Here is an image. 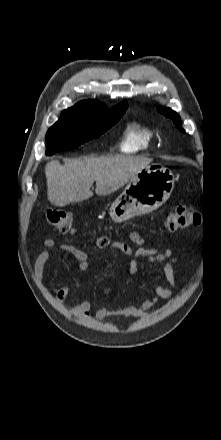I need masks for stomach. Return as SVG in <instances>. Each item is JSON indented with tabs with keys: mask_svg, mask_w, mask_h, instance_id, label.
<instances>
[{
	"mask_svg": "<svg viewBox=\"0 0 221 440\" xmlns=\"http://www.w3.org/2000/svg\"><path fill=\"white\" fill-rule=\"evenodd\" d=\"M173 173L161 165L142 169L126 185L110 207V217L117 223L159 208L174 188Z\"/></svg>",
	"mask_w": 221,
	"mask_h": 440,
	"instance_id": "0dacf381",
	"label": "stomach"
}]
</instances>
